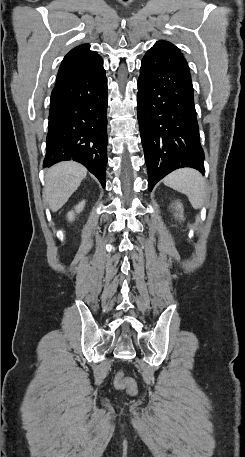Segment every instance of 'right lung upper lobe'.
I'll return each mask as SVG.
<instances>
[{
    "label": "right lung upper lobe",
    "mask_w": 245,
    "mask_h": 457,
    "mask_svg": "<svg viewBox=\"0 0 245 457\" xmlns=\"http://www.w3.org/2000/svg\"><path fill=\"white\" fill-rule=\"evenodd\" d=\"M89 44L72 49L63 59L56 83L93 73L103 68V61L97 52L89 50Z\"/></svg>",
    "instance_id": "obj_1"
}]
</instances>
